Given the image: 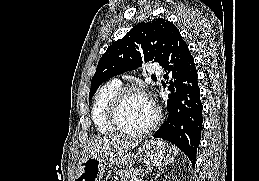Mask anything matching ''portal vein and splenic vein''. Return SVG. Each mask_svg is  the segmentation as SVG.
Wrapping results in <instances>:
<instances>
[{
    "label": "portal vein and splenic vein",
    "instance_id": "1",
    "mask_svg": "<svg viewBox=\"0 0 259 181\" xmlns=\"http://www.w3.org/2000/svg\"><path fill=\"white\" fill-rule=\"evenodd\" d=\"M131 181H140L138 178H133Z\"/></svg>",
    "mask_w": 259,
    "mask_h": 181
}]
</instances>
